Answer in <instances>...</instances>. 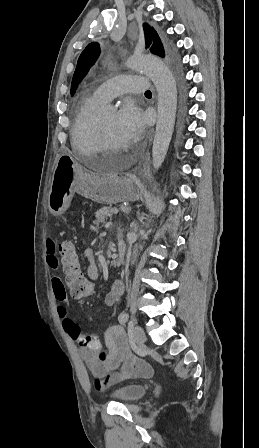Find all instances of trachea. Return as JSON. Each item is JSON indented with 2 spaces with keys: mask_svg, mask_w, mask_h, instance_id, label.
I'll return each instance as SVG.
<instances>
[{
  "mask_svg": "<svg viewBox=\"0 0 259 448\" xmlns=\"http://www.w3.org/2000/svg\"><path fill=\"white\" fill-rule=\"evenodd\" d=\"M145 93H152L150 90H147Z\"/></svg>",
  "mask_w": 259,
  "mask_h": 448,
  "instance_id": "1",
  "label": "trachea"
}]
</instances>
